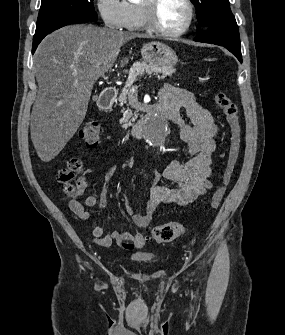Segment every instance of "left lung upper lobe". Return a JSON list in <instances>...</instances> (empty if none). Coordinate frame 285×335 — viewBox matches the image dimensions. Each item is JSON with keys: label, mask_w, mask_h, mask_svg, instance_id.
<instances>
[{"label": "left lung upper lobe", "mask_w": 285, "mask_h": 335, "mask_svg": "<svg viewBox=\"0 0 285 335\" xmlns=\"http://www.w3.org/2000/svg\"><path fill=\"white\" fill-rule=\"evenodd\" d=\"M196 6L197 20L204 28L219 23H234L229 0H191Z\"/></svg>", "instance_id": "1"}]
</instances>
